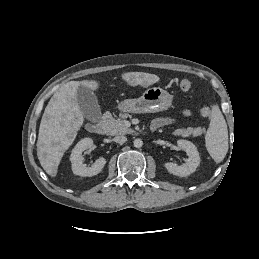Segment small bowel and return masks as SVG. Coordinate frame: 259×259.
Returning a JSON list of instances; mask_svg holds the SVG:
<instances>
[{
	"instance_id": "small-bowel-1",
	"label": "small bowel",
	"mask_w": 259,
	"mask_h": 259,
	"mask_svg": "<svg viewBox=\"0 0 259 259\" xmlns=\"http://www.w3.org/2000/svg\"><path fill=\"white\" fill-rule=\"evenodd\" d=\"M183 114H184L185 116H188V115L190 114V111H189V110H184V111H183ZM173 121H174L173 118H170V117H161V118L156 119V120L152 123V127H154V128L157 129V128H159V127H162V126L171 124Z\"/></svg>"
}]
</instances>
